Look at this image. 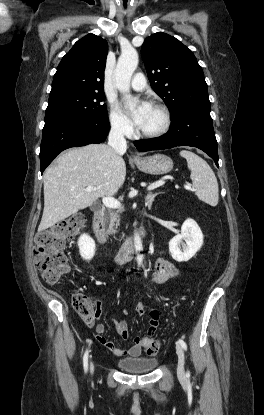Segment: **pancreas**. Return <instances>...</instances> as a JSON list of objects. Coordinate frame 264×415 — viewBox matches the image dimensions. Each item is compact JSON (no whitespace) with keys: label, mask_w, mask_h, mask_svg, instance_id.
<instances>
[{"label":"pancreas","mask_w":264,"mask_h":415,"mask_svg":"<svg viewBox=\"0 0 264 415\" xmlns=\"http://www.w3.org/2000/svg\"><path fill=\"white\" fill-rule=\"evenodd\" d=\"M119 214L118 212H109L105 219L106 232L108 234H115L119 226Z\"/></svg>","instance_id":"obj_1"}]
</instances>
